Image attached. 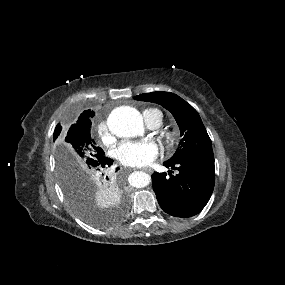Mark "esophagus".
I'll list each match as a JSON object with an SVG mask.
<instances>
[{
    "label": "esophagus",
    "instance_id": "obj_1",
    "mask_svg": "<svg viewBox=\"0 0 285 285\" xmlns=\"http://www.w3.org/2000/svg\"><path fill=\"white\" fill-rule=\"evenodd\" d=\"M143 171H146L147 173H152V169L151 168H144Z\"/></svg>",
    "mask_w": 285,
    "mask_h": 285
}]
</instances>
